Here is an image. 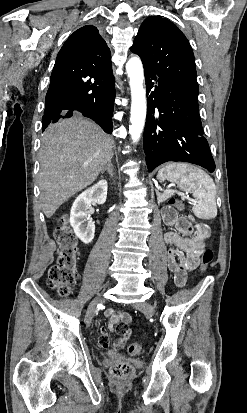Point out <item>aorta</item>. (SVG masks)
<instances>
[{
	"mask_svg": "<svg viewBox=\"0 0 247 413\" xmlns=\"http://www.w3.org/2000/svg\"><path fill=\"white\" fill-rule=\"evenodd\" d=\"M126 71L132 98L129 133L133 142H137L144 129L147 112L146 91L143 87L144 70L140 58H130L126 64Z\"/></svg>",
	"mask_w": 247,
	"mask_h": 413,
	"instance_id": "762f6f07",
	"label": "aorta"
}]
</instances>
